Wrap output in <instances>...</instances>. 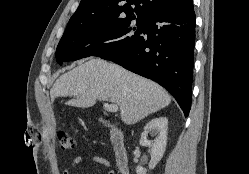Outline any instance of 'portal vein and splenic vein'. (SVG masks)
I'll return each instance as SVG.
<instances>
[{
    "mask_svg": "<svg viewBox=\"0 0 249 174\" xmlns=\"http://www.w3.org/2000/svg\"><path fill=\"white\" fill-rule=\"evenodd\" d=\"M104 109L111 113H116L118 111V106L116 104L104 103Z\"/></svg>",
    "mask_w": 249,
    "mask_h": 174,
    "instance_id": "18ae733b",
    "label": "portal vein and splenic vein"
}]
</instances>
